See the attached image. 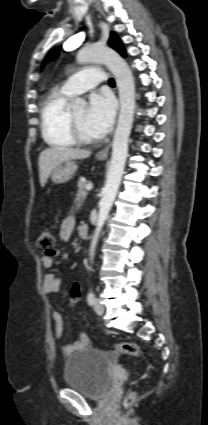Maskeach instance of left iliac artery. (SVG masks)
I'll list each match as a JSON object with an SVG mask.
<instances>
[{
    "mask_svg": "<svg viewBox=\"0 0 208 425\" xmlns=\"http://www.w3.org/2000/svg\"><path fill=\"white\" fill-rule=\"evenodd\" d=\"M87 301L89 305H93L94 301H95V295L92 291L89 292L88 296H87Z\"/></svg>",
    "mask_w": 208,
    "mask_h": 425,
    "instance_id": "obj_1",
    "label": "left iliac artery"
}]
</instances>
